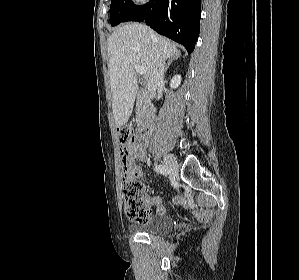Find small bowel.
Here are the masks:
<instances>
[{
    "instance_id": "c3829d8e",
    "label": "small bowel",
    "mask_w": 299,
    "mask_h": 280,
    "mask_svg": "<svg viewBox=\"0 0 299 280\" xmlns=\"http://www.w3.org/2000/svg\"><path fill=\"white\" fill-rule=\"evenodd\" d=\"M147 146H148L147 140L141 136L136 137L127 146L129 174L131 177L135 179L142 178L143 171L140 167L133 164V160L138 159L140 161H145L147 158ZM142 200L148 207L156 206L157 213L159 214L166 213V208L162 204V201L159 197H149L145 192H143ZM174 202L189 207L188 203L184 201L182 198H176ZM194 213L196 216H198L201 219L207 218L210 215L209 211H206L204 213H197V212Z\"/></svg>"
}]
</instances>
